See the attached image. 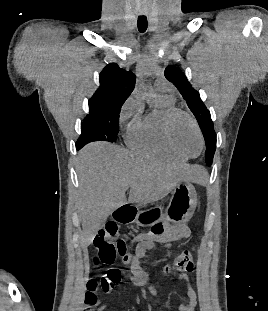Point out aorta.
<instances>
[{
    "label": "aorta",
    "instance_id": "aorta-1",
    "mask_svg": "<svg viewBox=\"0 0 268 311\" xmlns=\"http://www.w3.org/2000/svg\"><path fill=\"white\" fill-rule=\"evenodd\" d=\"M144 70H148V68L146 67V68H144Z\"/></svg>",
    "mask_w": 268,
    "mask_h": 311
}]
</instances>
